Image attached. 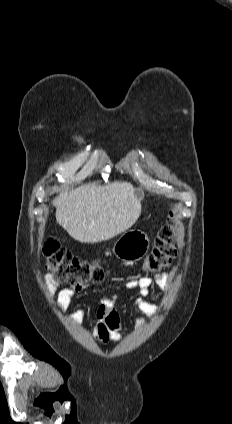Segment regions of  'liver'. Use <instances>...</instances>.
I'll use <instances>...</instances> for the list:
<instances>
[{
    "mask_svg": "<svg viewBox=\"0 0 232 424\" xmlns=\"http://www.w3.org/2000/svg\"><path fill=\"white\" fill-rule=\"evenodd\" d=\"M140 194L131 183L85 184L53 200L56 220L75 240L96 243L133 226L141 214Z\"/></svg>",
    "mask_w": 232,
    "mask_h": 424,
    "instance_id": "liver-1",
    "label": "liver"
}]
</instances>
